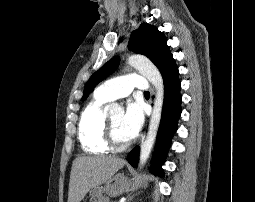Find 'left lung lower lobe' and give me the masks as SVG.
<instances>
[{
    "label": "left lung lower lobe",
    "mask_w": 255,
    "mask_h": 202,
    "mask_svg": "<svg viewBox=\"0 0 255 202\" xmlns=\"http://www.w3.org/2000/svg\"><path fill=\"white\" fill-rule=\"evenodd\" d=\"M180 86L181 83L178 74L164 84L165 93L162 116L157 135L153 166L150 168L151 172L158 176H163V169L161 166L170 148L171 139L177 130L178 119L181 115L182 96L180 95ZM138 159L139 147L136 146L128 154V162L133 167H137Z\"/></svg>",
    "instance_id": "obj_1"
}]
</instances>
